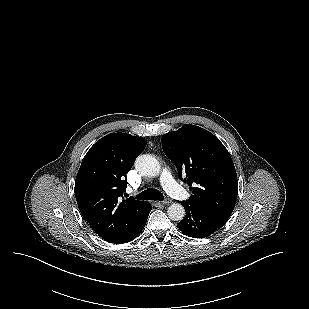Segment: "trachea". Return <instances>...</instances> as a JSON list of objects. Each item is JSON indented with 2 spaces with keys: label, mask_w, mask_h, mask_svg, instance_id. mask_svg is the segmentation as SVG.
Instances as JSON below:
<instances>
[{
  "label": "trachea",
  "mask_w": 309,
  "mask_h": 309,
  "mask_svg": "<svg viewBox=\"0 0 309 309\" xmlns=\"http://www.w3.org/2000/svg\"><path fill=\"white\" fill-rule=\"evenodd\" d=\"M138 200H155V201H162L164 199V196L161 192L158 190L149 188L147 190H144L140 194L136 196Z\"/></svg>",
  "instance_id": "obj_1"
}]
</instances>
